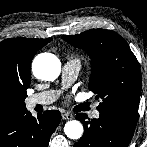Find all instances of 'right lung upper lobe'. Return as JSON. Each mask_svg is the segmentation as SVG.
I'll return each instance as SVG.
<instances>
[{
  "instance_id": "1",
  "label": "right lung upper lobe",
  "mask_w": 147,
  "mask_h": 147,
  "mask_svg": "<svg viewBox=\"0 0 147 147\" xmlns=\"http://www.w3.org/2000/svg\"><path fill=\"white\" fill-rule=\"evenodd\" d=\"M51 41L34 38H9L0 42V78L21 88L30 86V66L36 52ZM20 106L11 111L0 110V121L25 109Z\"/></svg>"
}]
</instances>
